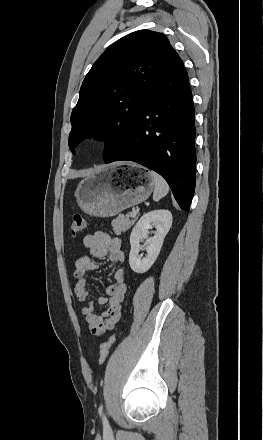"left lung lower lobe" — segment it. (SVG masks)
<instances>
[{"mask_svg": "<svg viewBox=\"0 0 263 440\" xmlns=\"http://www.w3.org/2000/svg\"><path fill=\"white\" fill-rule=\"evenodd\" d=\"M195 123L188 74L174 53L134 122L131 144L106 163L129 160L160 174L181 209L189 212L195 190Z\"/></svg>", "mask_w": 263, "mask_h": 440, "instance_id": "0a47b994", "label": "left lung lower lobe"}]
</instances>
